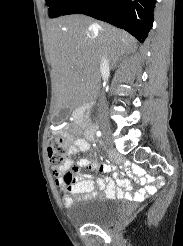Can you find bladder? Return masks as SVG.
Instances as JSON below:
<instances>
[{"mask_svg":"<svg viewBox=\"0 0 183 246\" xmlns=\"http://www.w3.org/2000/svg\"><path fill=\"white\" fill-rule=\"evenodd\" d=\"M121 211V205L117 200L98 197L89 203L84 212L74 215L73 220L77 225L104 226L114 221Z\"/></svg>","mask_w":183,"mask_h":246,"instance_id":"1","label":"bladder"}]
</instances>
